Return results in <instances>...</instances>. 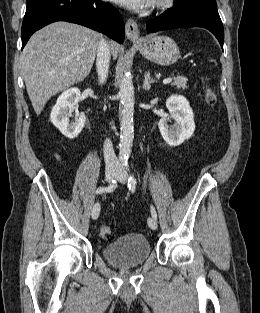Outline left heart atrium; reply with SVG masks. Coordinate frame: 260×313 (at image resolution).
Here are the masks:
<instances>
[{
    "label": "left heart atrium",
    "mask_w": 260,
    "mask_h": 313,
    "mask_svg": "<svg viewBox=\"0 0 260 313\" xmlns=\"http://www.w3.org/2000/svg\"><path fill=\"white\" fill-rule=\"evenodd\" d=\"M126 8H129L131 10H142L145 9L155 1V0H112Z\"/></svg>",
    "instance_id": "1"
}]
</instances>
